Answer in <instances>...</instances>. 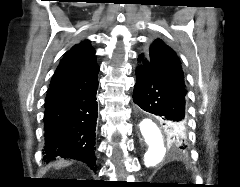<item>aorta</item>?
Instances as JSON below:
<instances>
[{"instance_id": "aorta-1", "label": "aorta", "mask_w": 240, "mask_h": 187, "mask_svg": "<svg viewBox=\"0 0 240 187\" xmlns=\"http://www.w3.org/2000/svg\"><path fill=\"white\" fill-rule=\"evenodd\" d=\"M141 135L146 143L144 162L147 167L155 166L166 153V140L157 124L145 118L139 124Z\"/></svg>"}]
</instances>
